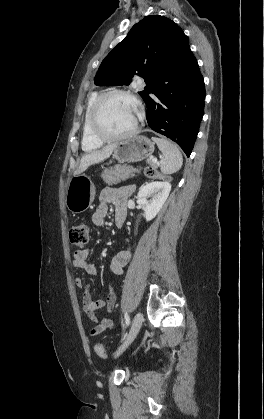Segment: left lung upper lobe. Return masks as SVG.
Instances as JSON below:
<instances>
[{"mask_svg": "<svg viewBox=\"0 0 264 419\" xmlns=\"http://www.w3.org/2000/svg\"><path fill=\"white\" fill-rule=\"evenodd\" d=\"M182 34L177 24L166 17H145L105 57L94 83L98 86L129 85L134 76H141L146 86L139 94L145 101L155 81L169 72L170 43Z\"/></svg>", "mask_w": 264, "mask_h": 419, "instance_id": "5c2ea615", "label": "left lung upper lobe"}]
</instances>
